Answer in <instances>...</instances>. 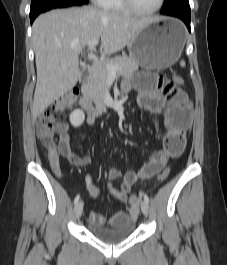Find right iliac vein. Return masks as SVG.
Segmentation results:
<instances>
[{"label": "right iliac vein", "instance_id": "right-iliac-vein-1", "mask_svg": "<svg viewBox=\"0 0 227 265\" xmlns=\"http://www.w3.org/2000/svg\"><path fill=\"white\" fill-rule=\"evenodd\" d=\"M83 212V202L80 201L75 205L74 214L76 218H80Z\"/></svg>", "mask_w": 227, "mask_h": 265}]
</instances>
